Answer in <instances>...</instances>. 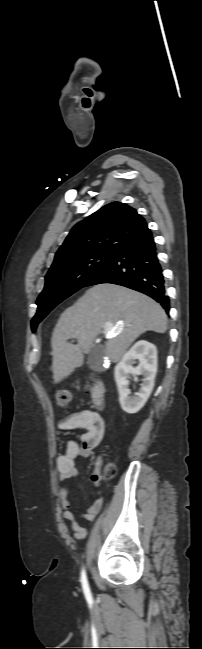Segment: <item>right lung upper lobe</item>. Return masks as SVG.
Listing matches in <instances>:
<instances>
[{
	"mask_svg": "<svg viewBox=\"0 0 202 649\" xmlns=\"http://www.w3.org/2000/svg\"><path fill=\"white\" fill-rule=\"evenodd\" d=\"M148 232L144 218L134 208L121 202L109 203L72 228L52 266L89 251L117 253Z\"/></svg>",
	"mask_w": 202,
	"mask_h": 649,
	"instance_id": "right-lung-upper-lobe-1",
	"label": "right lung upper lobe"
}]
</instances>
